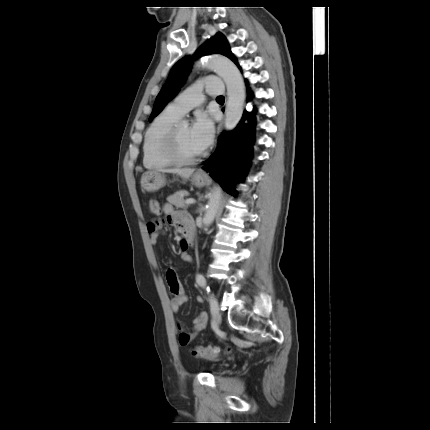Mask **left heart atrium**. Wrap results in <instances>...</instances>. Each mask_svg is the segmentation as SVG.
I'll use <instances>...</instances> for the list:
<instances>
[{
	"mask_svg": "<svg viewBox=\"0 0 430 430\" xmlns=\"http://www.w3.org/2000/svg\"><path fill=\"white\" fill-rule=\"evenodd\" d=\"M190 132L194 146L202 152L213 139L214 125L211 118L206 113L199 114L190 128Z\"/></svg>",
	"mask_w": 430,
	"mask_h": 430,
	"instance_id": "1",
	"label": "left heart atrium"
}]
</instances>
